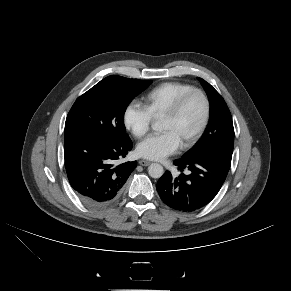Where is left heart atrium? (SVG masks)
I'll use <instances>...</instances> for the list:
<instances>
[{"label": "left heart atrium", "instance_id": "1", "mask_svg": "<svg viewBox=\"0 0 291 291\" xmlns=\"http://www.w3.org/2000/svg\"><path fill=\"white\" fill-rule=\"evenodd\" d=\"M181 143L174 132L164 131L151 135L137 146V154L149 160H161L175 153Z\"/></svg>", "mask_w": 291, "mask_h": 291}]
</instances>
